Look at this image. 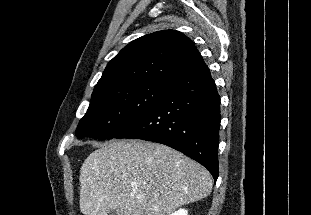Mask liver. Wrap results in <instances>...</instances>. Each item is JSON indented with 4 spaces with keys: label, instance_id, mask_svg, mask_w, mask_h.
I'll return each instance as SVG.
<instances>
[{
    "label": "liver",
    "instance_id": "1",
    "mask_svg": "<svg viewBox=\"0 0 311 215\" xmlns=\"http://www.w3.org/2000/svg\"><path fill=\"white\" fill-rule=\"evenodd\" d=\"M80 211L84 215H171L207 197L210 173L162 144L114 140L100 146L80 170Z\"/></svg>",
    "mask_w": 311,
    "mask_h": 215
}]
</instances>
